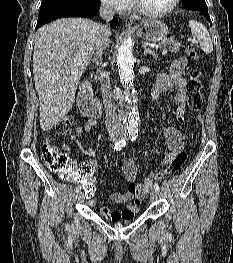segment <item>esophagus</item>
<instances>
[{
    "label": "esophagus",
    "instance_id": "1",
    "mask_svg": "<svg viewBox=\"0 0 233 263\" xmlns=\"http://www.w3.org/2000/svg\"><path fill=\"white\" fill-rule=\"evenodd\" d=\"M125 24H126L127 27L131 28L134 25V21L131 18H126L125 19Z\"/></svg>",
    "mask_w": 233,
    "mask_h": 263
}]
</instances>
